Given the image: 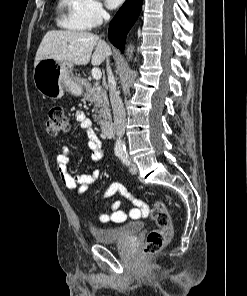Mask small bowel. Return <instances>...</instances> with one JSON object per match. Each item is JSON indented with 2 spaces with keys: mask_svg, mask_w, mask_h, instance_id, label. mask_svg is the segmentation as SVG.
Returning a JSON list of instances; mask_svg holds the SVG:
<instances>
[{
  "mask_svg": "<svg viewBox=\"0 0 247 296\" xmlns=\"http://www.w3.org/2000/svg\"><path fill=\"white\" fill-rule=\"evenodd\" d=\"M76 120L81 128L85 129L87 132L88 140L86 145L91 151V161L93 163H98L102 159L103 152L101 150L99 139L92 126V122L83 112H78L76 114ZM69 159L70 150L67 146H64L56 156V168L66 188L72 191H76L77 194H82L87 190L90 184H92L96 179L99 178L101 170L99 168H96L90 174H78L72 176L67 171V164L69 162ZM116 194H119L120 196L131 201L134 205L137 206L136 208L130 210L129 215L131 218H135L134 213L141 212V209L144 206L143 203L140 200L134 198L127 191L122 183L114 181L108 186L107 190L105 191L104 198L109 199ZM126 217V212L121 209V202L113 201L110 204V212L99 213L97 215V221L100 224H120L126 220Z\"/></svg>",
  "mask_w": 247,
  "mask_h": 296,
  "instance_id": "small-bowel-1",
  "label": "small bowel"
}]
</instances>
